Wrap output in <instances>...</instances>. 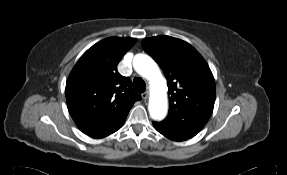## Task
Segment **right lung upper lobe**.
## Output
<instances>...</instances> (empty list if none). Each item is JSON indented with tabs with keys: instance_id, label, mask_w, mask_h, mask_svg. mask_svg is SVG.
<instances>
[{
	"instance_id": "right-lung-upper-lobe-1",
	"label": "right lung upper lobe",
	"mask_w": 287,
	"mask_h": 175,
	"mask_svg": "<svg viewBox=\"0 0 287 175\" xmlns=\"http://www.w3.org/2000/svg\"><path fill=\"white\" fill-rule=\"evenodd\" d=\"M135 38L110 37L87 50L66 82L69 113L86 135L100 139L122 127L134 102L141 95L132 90L128 77L117 65L136 43Z\"/></svg>"
}]
</instances>
